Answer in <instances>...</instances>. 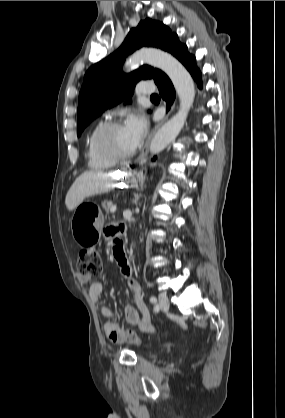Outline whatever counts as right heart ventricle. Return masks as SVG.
<instances>
[{
  "instance_id": "1",
  "label": "right heart ventricle",
  "mask_w": 285,
  "mask_h": 418,
  "mask_svg": "<svg viewBox=\"0 0 285 418\" xmlns=\"http://www.w3.org/2000/svg\"><path fill=\"white\" fill-rule=\"evenodd\" d=\"M102 123L96 124L88 133L85 141V156L87 159L88 166L91 170L99 171L107 169L116 164V162L106 160L102 158L94 149L92 145V138L95 131Z\"/></svg>"
}]
</instances>
